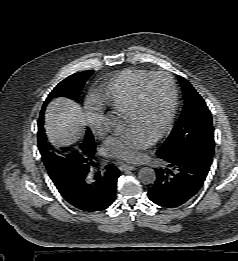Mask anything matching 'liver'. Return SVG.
Masks as SVG:
<instances>
[{"instance_id": "6515ba94", "label": "liver", "mask_w": 238, "mask_h": 261, "mask_svg": "<svg viewBox=\"0 0 238 261\" xmlns=\"http://www.w3.org/2000/svg\"><path fill=\"white\" fill-rule=\"evenodd\" d=\"M87 123V116L74 101L57 98L45 113V130L50 141L57 146L70 145L77 141Z\"/></svg>"}]
</instances>
